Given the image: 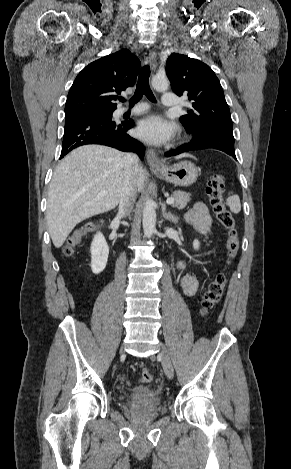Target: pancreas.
Segmentation results:
<instances>
[{
	"label": "pancreas",
	"instance_id": "obj_1",
	"mask_svg": "<svg viewBox=\"0 0 291 469\" xmlns=\"http://www.w3.org/2000/svg\"><path fill=\"white\" fill-rule=\"evenodd\" d=\"M173 199L174 202L172 203V206L183 209L190 201V195L182 191H175L173 193Z\"/></svg>",
	"mask_w": 291,
	"mask_h": 469
}]
</instances>
